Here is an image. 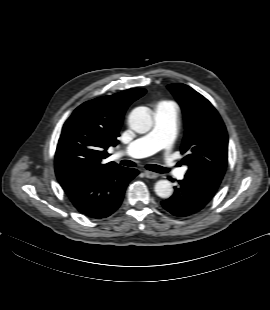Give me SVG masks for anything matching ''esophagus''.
Listing matches in <instances>:
<instances>
[{"label":"esophagus","instance_id":"1","mask_svg":"<svg viewBox=\"0 0 270 310\" xmlns=\"http://www.w3.org/2000/svg\"><path fill=\"white\" fill-rule=\"evenodd\" d=\"M144 175L146 178H149V179H155L159 176L157 173H154L151 171H144Z\"/></svg>","mask_w":270,"mask_h":310}]
</instances>
